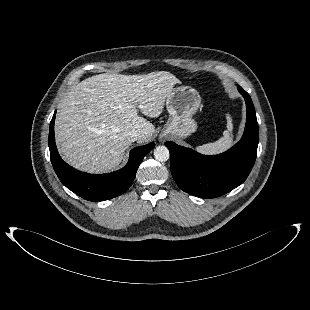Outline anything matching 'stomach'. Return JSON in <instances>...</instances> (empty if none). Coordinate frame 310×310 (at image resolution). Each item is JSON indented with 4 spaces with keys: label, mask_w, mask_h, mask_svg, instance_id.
I'll return each mask as SVG.
<instances>
[{
    "label": "stomach",
    "mask_w": 310,
    "mask_h": 310,
    "mask_svg": "<svg viewBox=\"0 0 310 310\" xmlns=\"http://www.w3.org/2000/svg\"><path fill=\"white\" fill-rule=\"evenodd\" d=\"M201 102L199 93L191 86L175 87L166 99V108L170 117L161 136L186 138L194 133L197 123L192 117L201 107Z\"/></svg>",
    "instance_id": "obj_1"
}]
</instances>
